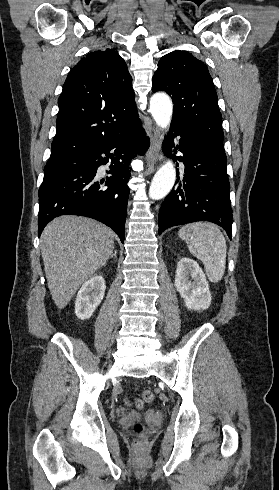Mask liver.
<instances>
[{"label":"liver","instance_id":"liver-1","mask_svg":"<svg viewBox=\"0 0 279 490\" xmlns=\"http://www.w3.org/2000/svg\"><path fill=\"white\" fill-rule=\"evenodd\" d=\"M114 236L104 224L82 216H60L44 228L40 240L44 272L59 310L108 262Z\"/></svg>","mask_w":279,"mask_h":490}]
</instances>
